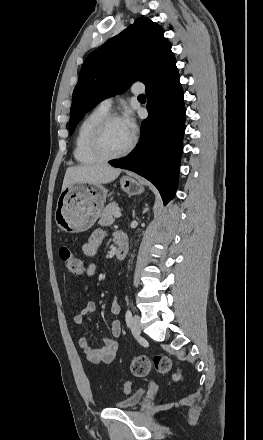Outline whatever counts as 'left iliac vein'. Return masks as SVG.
<instances>
[{"label": "left iliac vein", "instance_id": "1", "mask_svg": "<svg viewBox=\"0 0 263 440\" xmlns=\"http://www.w3.org/2000/svg\"><path fill=\"white\" fill-rule=\"evenodd\" d=\"M131 331L133 335L139 336L141 334V323L137 315H134L131 321Z\"/></svg>", "mask_w": 263, "mask_h": 440}]
</instances>
